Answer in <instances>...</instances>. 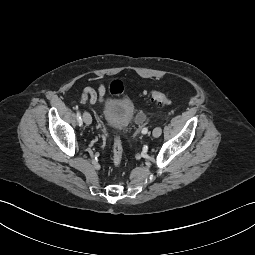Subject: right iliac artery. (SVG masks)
I'll return each mask as SVG.
<instances>
[{"label":"right iliac artery","instance_id":"1","mask_svg":"<svg viewBox=\"0 0 255 255\" xmlns=\"http://www.w3.org/2000/svg\"><path fill=\"white\" fill-rule=\"evenodd\" d=\"M77 122H78L79 126L82 125V118H81L80 112H77Z\"/></svg>","mask_w":255,"mask_h":255}]
</instances>
